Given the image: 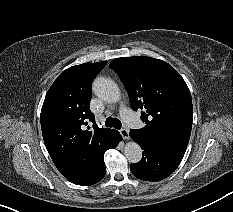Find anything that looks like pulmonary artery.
Here are the masks:
<instances>
[{"label":"pulmonary artery","mask_w":233,"mask_h":212,"mask_svg":"<svg viewBox=\"0 0 233 212\" xmlns=\"http://www.w3.org/2000/svg\"><path fill=\"white\" fill-rule=\"evenodd\" d=\"M122 116L129 125H133L136 122L134 116L126 109L122 110Z\"/></svg>","instance_id":"1"}]
</instances>
